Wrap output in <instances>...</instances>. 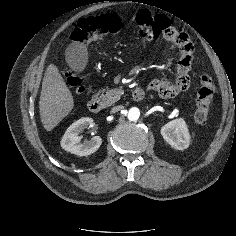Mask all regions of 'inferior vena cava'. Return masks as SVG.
<instances>
[{
    "instance_id": "inferior-vena-cava-1",
    "label": "inferior vena cava",
    "mask_w": 236,
    "mask_h": 236,
    "mask_svg": "<svg viewBox=\"0 0 236 236\" xmlns=\"http://www.w3.org/2000/svg\"><path fill=\"white\" fill-rule=\"evenodd\" d=\"M122 108H123V106H121V105L115 106L111 109V113H116V112L120 111Z\"/></svg>"
}]
</instances>
